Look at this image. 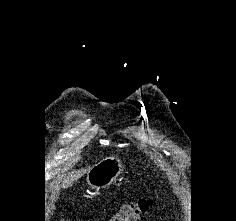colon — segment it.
Masks as SVG:
<instances>
[{"instance_id":"colon-1","label":"colon","mask_w":236,"mask_h":221,"mask_svg":"<svg viewBox=\"0 0 236 221\" xmlns=\"http://www.w3.org/2000/svg\"><path fill=\"white\" fill-rule=\"evenodd\" d=\"M153 203L148 199L132 201L121 205L108 221H141Z\"/></svg>"}]
</instances>
